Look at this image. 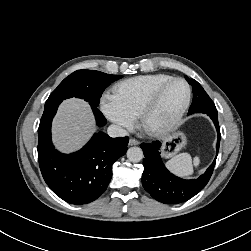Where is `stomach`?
Returning a JSON list of instances; mask_svg holds the SVG:
<instances>
[{
    "label": "stomach",
    "instance_id": "0dacf381",
    "mask_svg": "<svg viewBox=\"0 0 251 251\" xmlns=\"http://www.w3.org/2000/svg\"><path fill=\"white\" fill-rule=\"evenodd\" d=\"M186 142V137L182 132L173 134L165 140L164 144V157H170L177 151L181 150Z\"/></svg>",
    "mask_w": 251,
    "mask_h": 251
}]
</instances>
